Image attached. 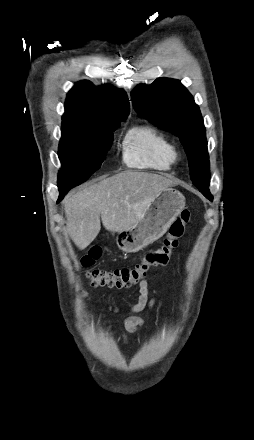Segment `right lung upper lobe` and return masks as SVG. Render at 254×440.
I'll return each instance as SVG.
<instances>
[{
    "instance_id": "obj_1",
    "label": "right lung upper lobe",
    "mask_w": 254,
    "mask_h": 440,
    "mask_svg": "<svg viewBox=\"0 0 254 440\" xmlns=\"http://www.w3.org/2000/svg\"><path fill=\"white\" fill-rule=\"evenodd\" d=\"M129 100L126 92L108 86L95 87L90 81L78 82L68 93L63 122L105 126L126 120Z\"/></svg>"
}]
</instances>
